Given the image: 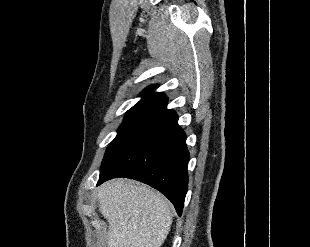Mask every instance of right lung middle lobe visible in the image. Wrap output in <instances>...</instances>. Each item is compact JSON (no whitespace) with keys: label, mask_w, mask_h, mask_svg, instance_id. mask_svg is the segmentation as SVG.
<instances>
[{"label":"right lung middle lobe","mask_w":310,"mask_h":247,"mask_svg":"<svg viewBox=\"0 0 310 247\" xmlns=\"http://www.w3.org/2000/svg\"><path fill=\"white\" fill-rule=\"evenodd\" d=\"M157 115L151 110H129L126 113L115 139L108 145L101 168L105 166L116 153L136 134L147 122Z\"/></svg>","instance_id":"right-lung-middle-lobe-1"}]
</instances>
